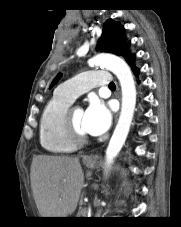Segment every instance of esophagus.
<instances>
[{
	"mask_svg": "<svg viewBox=\"0 0 181 227\" xmlns=\"http://www.w3.org/2000/svg\"><path fill=\"white\" fill-rule=\"evenodd\" d=\"M117 93H118V98H119V100H120V92H119V89H118ZM117 119H118V114H117V116H116V120H117ZM85 160H86V161H91L92 159H91L90 157H85Z\"/></svg>",
	"mask_w": 181,
	"mask_h": 227,
	"instance_id": "obj_1",
	"label": "esophagus"
}]
</instances>
